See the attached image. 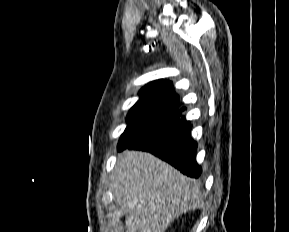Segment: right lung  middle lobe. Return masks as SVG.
I'll return each instance as SVG.
<instances>
[{
    "mask_svg": "<svg viewBox=\"0 0 289 232\" xmlns=\"http://www.w3.org/2000/svg\"><path fill=\"white\" fill-rule=\"evenodd\" d=\"M181 116V111L136 103L127 115L128 125L121 135L118 149L142 139Z\"/></svg>",
    "mask_w": 289,
    "mask_h": 232,
    "instance_id": "dd1d6c3e",
    "label": "right lung middle lobe"
}]
</instances>
